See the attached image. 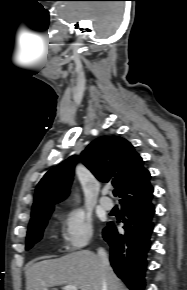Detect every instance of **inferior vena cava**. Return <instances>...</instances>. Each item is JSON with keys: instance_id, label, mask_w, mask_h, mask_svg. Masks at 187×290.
I'll return each instance as SVG.
<instances>
[{"instance_id": "obj_1", "label": "inferior vena cava", "mask_w": 187, "mask_h": 290, "mask_svg": "<svg viewBox=\"0 0 187 290\" xmlns=\"http://www.w3.org/2000/svg\"><path fill=\"white\" fill-rule=\"evenodd\" d=\"M98 257H99L103 266H109L108 255L104 249L100 248L98 250ZM102 290H107V285H106L105 280L103 281Z\"/></svg>"}]
</instances>
